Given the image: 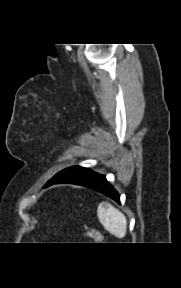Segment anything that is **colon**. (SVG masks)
Segmentation results:
<instances>
[{"label":"colon","instance_id":"obj_1","mask_svg":"<svg viewBox=\"0 0 181 288\" xmlns=\"http://www.w3.org/2000/svg\"><path fill=\"white\" fill-rule=\"evenodd\" d=\"M87 238L91 241H100L102 236L100 232L94 228H89L87 230Z\"/></svg>","mask_w":181,"mask_h":288}]
</instances>
